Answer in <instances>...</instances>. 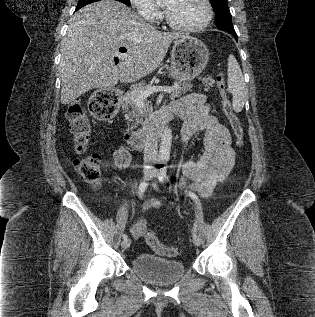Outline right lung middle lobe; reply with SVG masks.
Returning <instances> with one entry per match:
<instances>
[{
  "mask_svg": "<svg viewBox=\"0 0 315 317\" xmlns=\"http://www.w3.org/2000/svg\"><path fill=\"white\" fill-rule=\"evenodd\" d=\"M96 1H99V0H79L76 9L78 10V9L84 7L85 5L96 2ZM116 1L122 2V3L126 4L127 6L130 5L129 0H116Z\"/></svg>",
  "mask_w": 315,
  "mask_h": 317,
  "instance_id": "right-lung-middle-lobe-1",
  "label": "right lung middle lobe"
}]
</instances>
